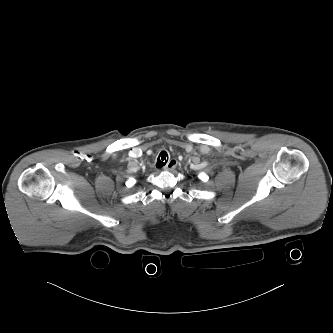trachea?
Returning <instances> with one entry per match:
<instances>
[{
	"instance_id": "3493384b",
	"label": "trachea",
	"mask_w": 333,
	"mask_h": 333,
	"mask_svg": "<svg viewBox=\"0 0 333 333\" xmlns=\"http://www.w3.org/2000/svg\"><path fill=\"white\" fill-rule=\"evenodd\" d=\"M167 161H168V154L166 151H162L158 157V162L156 163V167L162 168L167 163Z\"/></svg>"
}]
</instances>
